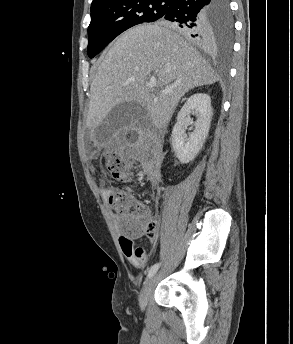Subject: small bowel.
<instances>
[{"mask_svg":"<svg viewBox=\"0 0 293 344\" xmlns=\"http://www.w3.org/2000/svg\"><path fill=\"white\" fill-rule=\"evenodd\" d=\"M113 188H105L103 194L106 199L112 193ZM112 224L115 228L116 236L119 242V246L121 248L122 253L124 256L129 260V262L136 268H144L146 264L151 259V254L146 253L142 248L136 247L134 243V239L125 235L123 232L121 225L116 217V215L112 214L111 216ZM150 241L155 245L158 239L157 233L154 231V234L149 237Z\"/></svg>","mask_w":293,"mask_h":344,"instance_id":"small-bowel-1","label":"small bowel"}]
</instances>
